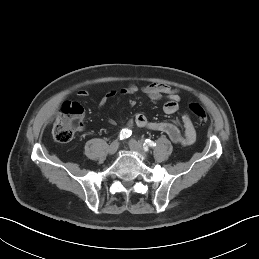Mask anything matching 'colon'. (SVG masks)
<instances>
[{
    "label": "colon",
    "instance_id": "colon-1",
    "mask_svg": "<svg viewBox=\"0 0 259 259\" xmlns=\"http://www.w3.org/2000/svg\"><path fill=\"white\" fill-rule=\"evenodd\" d=\"M189 110L200 124L207 123V113L200 104L191 103ZM83 113L82 106L76 102H67L61 107L53 126V135L58 142H68L72 139L74 132L82 125Z\"/></svg>",
    "mask_w": 259,
    "mask_h": 259
}]
</instances>
